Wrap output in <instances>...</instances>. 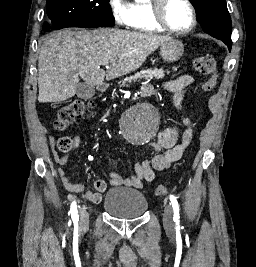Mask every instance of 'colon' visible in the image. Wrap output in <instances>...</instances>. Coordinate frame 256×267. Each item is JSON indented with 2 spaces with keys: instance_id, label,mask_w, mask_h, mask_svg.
<instances>
[{
  "instance_id": "1",
  "label": "colon",
  "mask_w": 256,
  "mask_h": 267,
  "mask_svg": "<svg viewBox=\"0 0 256 267\" xmlns=\"http://www.w3.org/2000/svg\"><path fill=\"white\" fill-rule=\"evenodd\" d=\"M194 65L206 77L202 86L203 92L212 91L218 79L214 58L208 56L199 57L195 60ZM90 109V102L86 100H76L66 104L57 112V116L53 121L54 129L57 132H64L75 119L85 116ZM58 146L64 152L69 151L72 147V140L70 138H61L58 141ZM154 192L157 196H164L169 192V189L164 184H157Z\"/></svg>"
}]
</instances>
